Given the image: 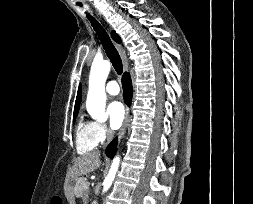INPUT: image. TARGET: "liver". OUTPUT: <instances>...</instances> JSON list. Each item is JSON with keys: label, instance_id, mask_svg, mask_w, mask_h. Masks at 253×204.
Returning <instances> with one entry per match:
<instances>
[{"label": "liver", "instance_id": "liver-1", "mask_svg": "<svg viewBox=\"0 0 253 204\" xmlns=\"http://www.w3.org/2000/svg\"><path fill=\"white\" fill-rule=\"evenodd\" d=\"M100 156V152L93 151L74 159L73 166L67 172L66 183L64 187L66 196L68 199H70V201L73 200V196L72 187L69 185V182L77 180L81 175H87L98 169L101 165Z\"/></svg>", "mask_w": 253, "mask_h": 204}]
</instances>
